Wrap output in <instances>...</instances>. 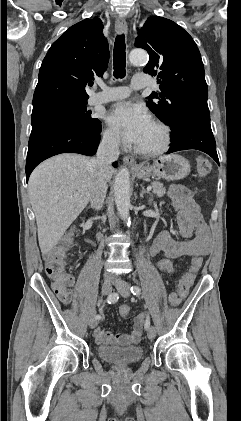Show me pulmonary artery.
<instances>
[{
    "label": "pulmonary artery",
    "instance_id": "e3ab8cb5",
    "mask_svg": "<svg viewBox=\"0 0 241 421\" xmlns=\"http://www.w3.org/2000/svg\"><path fill=\"white\" fill-rule=\"evenodd\" d=\"M148 85L149 80L145 76L136 75L133 77L130 87L120 86L104 89L101 92L93 94L89 99V103L94 105L121 100L128 97L131 93V90L143 89Z\"/></svg>",
    "mask_w": 241,
    "mask_h": 421
}]
</instances>
